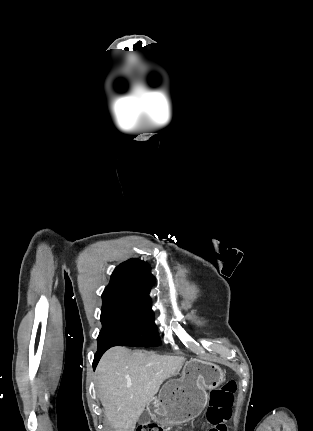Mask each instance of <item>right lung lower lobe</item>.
Instances as JSON below:
<instances>
[{
	"label": "right lung lower lobe",
	"instance_id": "1",
	"mask_svg": "<svg viewBox=\"0 0 313 431\" xmlns=\"http://www.w3.org/2000/svg\"><path fill=\"white\" fill-rule=\"evenodd\" d=\"M109 348H111V346H103V347H98V351L95 354V358L93 361V369L95 370L101 356L104 354L105 351H107Z\"/></svg>",
	"mask_w": 313,
	"mask_h": 431
}]
</instances>
